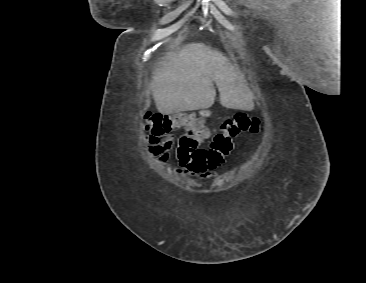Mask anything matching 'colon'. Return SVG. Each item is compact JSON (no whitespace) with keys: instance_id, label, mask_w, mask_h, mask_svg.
Segmentation results:
<instances>
[{"instance_id":"obj_1","label":"colon","mask_w":366,"mask_h":283,"mask_svg":"<svg viewBox=\"0 0 366 283\" xmlns=\"http://www.w3.org/2000/svg\"><path fill=\"white\" fill-rule=\"evenodd\" d=\"M143 118L145 129L153 135L185 129L175 145L174 154L182 167L193 172H202L218 165L222 160V157H217L218 151L228 155L235 146L236 137L244 133L255 134L260 127L257 117L236 113L221 123L220 131L213 136L210 146L201 148L200 143L210 135L201 118L190 113L163 115L153 112L145 113Z\"/></svg>"}]
</instances>
